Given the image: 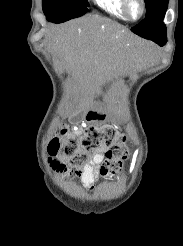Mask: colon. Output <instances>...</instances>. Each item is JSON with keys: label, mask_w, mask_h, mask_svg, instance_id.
Returning a JSON list of instances; mask_svg holds the SVG:
<instances>
[{"label": "colon", "mask_w": 183, "mask_h": 246, "mask_svg": "<svg viewBox=\"0 0 183 246\" xmlns=\"http://www.w3.org/2000/svg\"><path fill=\"white\" fill-rule=\"evenodd\" d=\"M99 151H104L106 156L100 168L101 176L114 175L126 155L124 135L111 125H91L81 136H76L65 126L59 125L48 144L50 154L58 156L75 170H82Z\"/></svg>", "instance_id": "1"}]
</instances>
